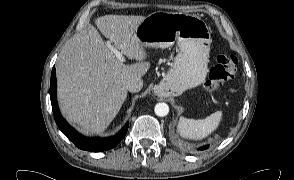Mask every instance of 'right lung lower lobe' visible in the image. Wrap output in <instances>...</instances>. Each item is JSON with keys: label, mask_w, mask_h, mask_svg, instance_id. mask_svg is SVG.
Segmentation results:
<instances>
[{"label": "right lung lower lobe", "mask_w": 294, "mask_h": 180, "mask_svg": "<svg viewBox=\"0 0 294 180\" xmlns=\"http://www.w3.org/2000/svg\"><path fill=\"white\" fill-rule=\"evenodd\" d=\"M50 99L52 110L57 126L62 133L72 141L78 148L87 151H106L115 147L126 135L128 124H126L118 135L109 138H86L73 129L61 116L56 100V76L55 67L52 69L50 81Z\"/></svg>", "instance_id": "1"}]
</instances>
